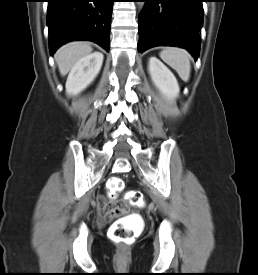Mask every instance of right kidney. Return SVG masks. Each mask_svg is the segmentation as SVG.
Instances as JSON below:
<instances>
[{"mask_svg": "<svg viewBox=\"0 0 258 275\" xmlns=\"http://www.w3.org/2000/svg\"><path fill=\"white\" fill-rule=\"evenodd\" d=\"M103 58L102 53L94 52L76 62L66 81V93L77 95L91 84L101 69Z\"/></svg>", "mask_w": 258, "mask_h": 275, "instance_id": "right-kidney-1", "label": "right kidney"}]
</instances>
